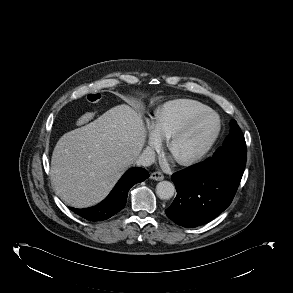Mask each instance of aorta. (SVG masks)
<instances>
[{"instance_id":"1","label":"aorta","mask_w":293,"mask_h":293,"mask_svg":"<svg viewBox=\"0 0 293 293\" xmlns=\"http://www.w3.org/2000/svg\"><path fill=\"white\" fill-rule=\"evenodd\" d=\"M156 194L160 199L168 200L175 194V186L169 181H161L156 185Z\"/></svg>"}]
</instances>
